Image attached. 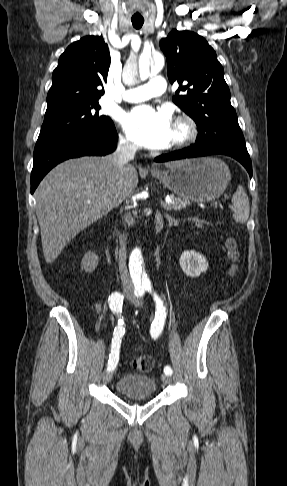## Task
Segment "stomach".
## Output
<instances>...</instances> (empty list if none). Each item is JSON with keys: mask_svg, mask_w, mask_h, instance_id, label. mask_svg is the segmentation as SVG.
I'll use <instances>...</instances> for the list:
<instances>
[{"mask_svg": "<svg viewBox=\"0 0 287 486\" xmlns=\"http://www.w3.org/2000/svg\"><path fill=\"white\" fill-rule=\"evenodd\" d=\"M151 174L179 197L195 202L217 199L231 179L228 166L214 157L186 159L173 168Z\"/></svg>", "mask_w": 287, "mask_h": 486, "instance_id": "obj_1", "label": "stomach"}]
</instances>
